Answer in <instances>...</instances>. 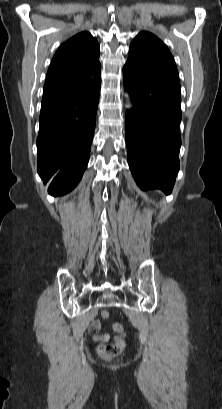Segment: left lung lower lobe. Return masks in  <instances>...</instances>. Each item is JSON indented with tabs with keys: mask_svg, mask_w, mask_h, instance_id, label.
Segmentation results:
<instances>
[{
	"mask_svg": "<svg viewBox=\"0 0 222 409\" xmlns=\"http://www.w3.org/2000/svg\"><path fill=\"white\" fill-rule=\"evenodd\" d=\"M133 109L125 132L128 164L142 190L172 191L179 170L181 99L123 76Z\"/></svg>",
	"mask_w": 222,
	"mask_h": 409,
	"instance_id": "0a47b994",
	"label": "left lung lower lobe"
}]
</instances>
